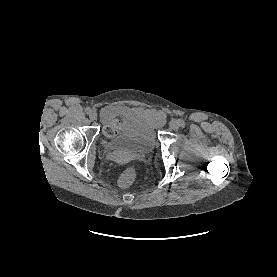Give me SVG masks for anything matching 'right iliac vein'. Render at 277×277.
Returning <instances> with one entry per match:
<instances>
[{
	"label": "right iliac vein",
	"mask_w": 277,
	"mask_h": 277,
	"mask_svg": "<svg viewBox=\"0 0 277 277\" xmlns=\"http://www.w3.org/2000/svg\"><path fill=\"white\" fill-rule=\"evenodd\" d=\"M89 117L92 121H95L97 120V113L95 111H92L90 114H89Z\"/></svg>",
	"instance_id": "1"
}]
</instances>
